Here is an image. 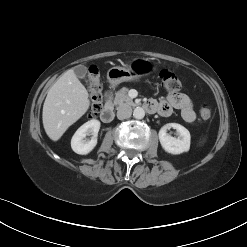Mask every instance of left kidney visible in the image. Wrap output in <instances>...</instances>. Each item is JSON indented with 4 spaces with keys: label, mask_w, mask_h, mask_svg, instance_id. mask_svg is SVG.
<instances>
[{
    "label": "left kidney",
    "mask_w": 247,
    "mask_h": 247,
    "mask_svg": "<svg viewBox=\"0 0 247 247\" xmlns=\"http://www.w3.org/2000/svg\"><path fill=\"white\" fill-rule=\"evenodd\" d=\"M172 127L176 129L179 136L178 138L172 137L167 133V128ZM190 132L180 124L169 123L163 126L159 131V140L162 148L173 155L187 152L190 149Z\"/></svg>",
    "instance_id": "left-kidney-1"
}]
</instances>
